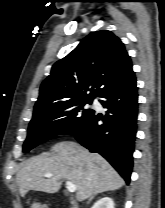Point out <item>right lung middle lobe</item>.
<instances>
[{
	"label": "right lung middle lobe",
	"mask_w": 165,
	"mask_h": 208,
	"mask_svg": "<svg viewBox=\"0 0 165 208\" xmlns=\"http://www.w3.org/2000/svg\"><path fill=\"white\" fill-rule=\"evenodd\" d=\"M87 103L91 104L92 100L61 102L34 111L23 152L61 132L75 133L94 111L86 107Z\"/></svg>",
	"instance_id": "1"
}]
</instances>
